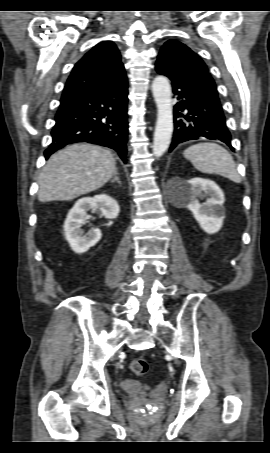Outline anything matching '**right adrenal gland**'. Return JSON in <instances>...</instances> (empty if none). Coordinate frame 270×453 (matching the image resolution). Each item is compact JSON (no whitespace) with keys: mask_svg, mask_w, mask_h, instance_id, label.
<instances>
[{"mask_svg":"<svg viewBox=\"0 0 270 453\" xmlns=\"http://www.w3.org/2000/svg\"><path fill=\"white\" fill-rule=\"evenodd\" d=\"M110 182L111 183L117 182L119 185H121V181L119 180L117 169L115 170L113 178L110 180Z\"/></svg>","mask_w":270,"mask_h":453,"instance_id":"right-adrenal-gland-1","label":"right adrenal gland"}]
</instances>
